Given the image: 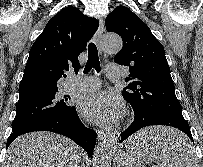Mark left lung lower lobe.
Wrapping results in <instances>:
<instances>
[{
	"label": "left lung lower lobe",
	"instance_id": "left-lung-lower-lobe-1",
	"mask_svg": "<svg viewBox=\"0 0 203 167\" xmlns=\"http://www.w3.org/2000/svg\"><path fill=\"white\" fill-rule=\"evenodd\" d=\"M153 125L171 126L181 130L185 135L189 137L188 139L187 136L184 135L186 137V140L184 144H181L182 148H187L186 144H190V140L193 142L189 124L184 119L181 113H170V114L160 115V116L151 117V118H140L139 116L135 115L134 121L132 122V124L124 132L121 133L120 142L124 141L126 138L131 136L139 129L147 126H153ZM157 146H158V141L152 138L150 140H143L135 144L134 150L137 147H139L140 149L141 148L143 149V148H153V147L156 148Z\"/></svg>",
	"mask_w": 203,
	"mask_h": 167
}]
</instances>
